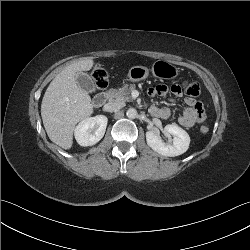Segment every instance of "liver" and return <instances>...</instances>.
Masks as SVG:
<instances>
[{
  "mask_svg": "<svg viewBox=\"0 0 250 250\" xmlns=\"http://www.w3.org/2000/svg\"><path fill=\"white\" fill-rule=\"evenodd\" d=\"M92 58L74 62L65 67L49 84L41 104V117L50 140L63 149L73 144L75 125L93 113L88 92L77 84V76L89 71Z\"/></svg>",
  "mask_w": 250,
  "mask_h": 250,
  "instance_id": "6515ba94",
  "label": "liver"
}]
</instances>
